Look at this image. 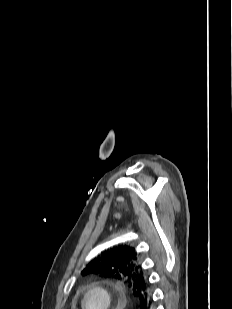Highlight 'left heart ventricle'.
<instances>
[{"instance_id": "1", "label": "left heart ventricle", "mask_w": 232, "mask_h": 309, "mask_svg": "<svg viewBox=\"0 0 232 309\" xmlns=\"http://www.w3.org/2000/svg\"><path fill=\"white\" fill-rule=\"evenodd\" d=\"M104 304V298L97 292L91 293L86 301L87 309H102Z\"/></svg>"}]
</instances>
